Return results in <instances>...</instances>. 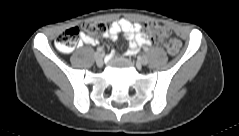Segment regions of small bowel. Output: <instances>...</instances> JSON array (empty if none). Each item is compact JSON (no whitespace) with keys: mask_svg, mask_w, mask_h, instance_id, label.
I'll list each match as a JSON object with an SVG mask.
<instances>
[{"mask_svg":"<svg viewBox=\"0 0 239 136\" xmlns=\"http://www.w3.org/2000/svg\"><path fill=\"white\" fill-rule=\"evenodd\" d=\"M120 33H123L129 41V49L127 51V55L129 56L134 55L140 47L151 44L149 37L142 31L141 25L139 23H132L127 19L114 21L108 27L104 37L115 41L118 39ZM82 42L89 45H96L99 40L83 34Z\"/></svg>","mask_w":239,"mask_h":136,"instance_id":"c3829d8e","label":"small bowel"}]
</instances>
